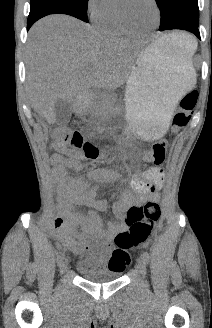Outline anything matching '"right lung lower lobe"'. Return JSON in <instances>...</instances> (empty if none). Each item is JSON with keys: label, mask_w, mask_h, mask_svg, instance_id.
<instances>
[{"label": "right lung lower lobe", "mask_w": 212, "mask_h": 328, "mask_svg": "<svg viewBox=\"0 0 212 328\" xmlns=\"http://www.w3.org/2000/svg\"><path fill=\"white\" fill-rule=\"evenodd\" d=\"M67 14L76 17L84 22H88L87 16L75 7L62 2L42 1L30 6V13L27 21V30L40 18L49 14Z\"/></svg>", "instance_id": "1"}]
</instances>
